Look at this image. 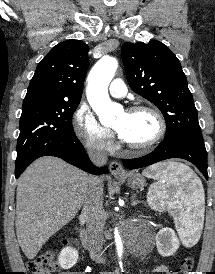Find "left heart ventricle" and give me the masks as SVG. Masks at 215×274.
<instances>
[{
	"mask_svg": "<svg viewBox=\"0 0 215 274\" xmlns=\"http://www.w3.org/2000/svg\"><path fill=\"white\" fill-rule=\"evenodd\" d=\"M113 127L120 130L122 139L132 144H142L152 139L157 132V122L152 114L145 111L122 112Z\"/></svg>",
	"mask_w": 215,
	"mask_h": 274,
	"instance_id": "b2bd125f",
	"label": "left heart ventricle"
}]
</instances>
